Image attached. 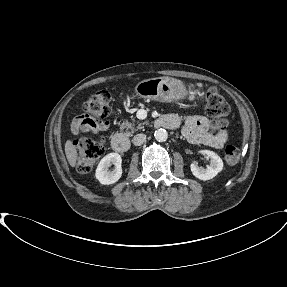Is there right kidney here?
Wrapping results in <instances>:
<instances>
[{"label":"right kidney","instance_id":"obj_1","mask_svg":"<svg viewBox=\"0 0 287 287\" xmlns=\"http://www.w3.org/2000/svg\"><path fill=\"white\" fill-rule=\"evenodd\" d=\"M122 159L120 154L118 153H109L104 156L99 162L96 169V179L102 185H109L117 182L122 176V167H121ZM114 165L115 168L110 171L108 168L111 165Z\"/></svg>","mask_w":287,"mask_h":287}]
</instances>
